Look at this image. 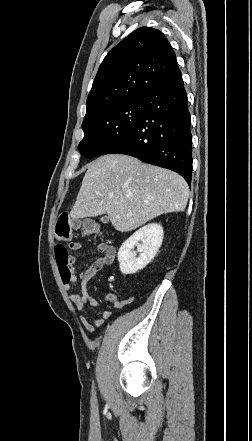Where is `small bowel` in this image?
<instances>
[{
	"label": "small bowel",
	"instance_id": "1",
	"mask_svg": "<svg viewBox=\"0 0 252 441\" xmlns=\"http://www.w3.org/2000/svg\"><path fill=\"white\" fill-rule=\"evenodd\" d=\"M70 247L74 251H80L82 249V244L79 242H72L70 244ZM98 251L102 254V256L97 258L95 261H93L80 273L81 293H74L71 295V300L75 304L77 310L80 312V321L83 327L85 328V330L89 333H93L95 327L102 326L105 323V321L111 317V313L108 310H102L100 312L101 317L98 319H91L84 312L86 305H90L93 307L97 305V300L87 292L88 282L104 266L111 265L114 262V249L111 246L103 244L101 248H98ZM74 261H75L74 257H71L70 258L71 276L69 278H66L60 272L63 284L66 288H69L70 284L77 280L73 268ZM104 299L110 302L117 309L123 307L122 301L118 298L116 294L112 292L104 293Z\"/></svg>",
	"mask_w": 252,
	"mask_h": 441
}]
</instances>
